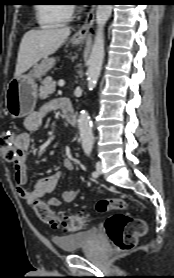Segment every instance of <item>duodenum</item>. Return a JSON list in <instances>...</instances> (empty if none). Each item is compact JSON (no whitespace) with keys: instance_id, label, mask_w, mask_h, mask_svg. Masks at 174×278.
Masks as SVG:
<instances>
[{"instance_id":"duodenum-1","label":"duodenum","mask_w":174,"mask_h":278,"mask_svg":"<svg viewBox=\"0 0 174 278\" xmlns=\"http://www.w3.org/2000/svg\"><path fill=\"white\" fill-rule=\"evenodd\" d=\"M59 109H60L61 117L71 126H75L76 117L70 101L67 99L60 100Z\"/></svg>"}]
</instances>
